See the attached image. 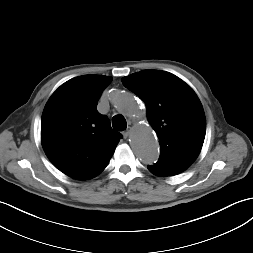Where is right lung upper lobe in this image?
I'll return each instance as SVG.
<instances>
[{
	"mask_svg": "<svg viewBox=\"0 0 253 253\" xmlns=\"http://www.w3.org/2000/svg\"><path fill=\"white\" fill-rule=\"evenodd\" d=\"M112 78L83 75L61 85L48 100L41 119V141L49 160L64 174L91 179L107 166L122 135L97 110Z\"/></svg>",
	"mask_w": 253,
	"mask_h": 253,
	"instance_id": "cb5924a9",
	"label": "right lung upper lobe"
}]
</instances>
